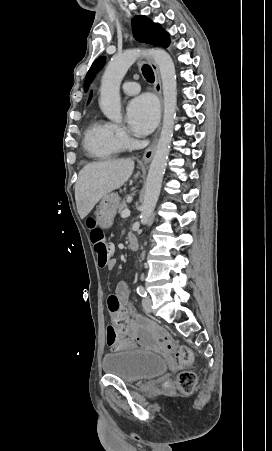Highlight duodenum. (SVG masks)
Masks as SVG:
<instances>
[{
    "instance_id": "obj_1",
    "label": "duodenum",
    "mask_w": 272,
    "mask_h": 451,
    "mask_svg": "<svg viewBox=\"0 0 272 451\" xmlns=\"http://www.w3.org/2000/svg\"><path fill=\"white\" fill-rule=\"evenodd\" d=\"M129 248L131 250H136L138 248V242H137L136 238H134V237L129 238Z\"/></svg>"
}]
</instances>
